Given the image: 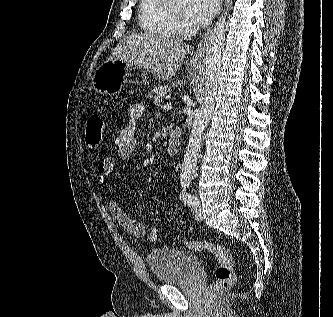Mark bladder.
Instances as JSON below:
<instances>
[{
	"label": "bladder",
	"mask_w": 333,
	"mask_h": 317,
	"mask_svg": "<svg viewBox=\"0 0 333 317\" xmlns=\"http://www.w3.org/2000/svg\"><path fill=\"white\" fill-rule=\"evenodd\" d=\"M146 261L156 281L166 285L191 284L203 265L199 256L170 247L151 250Z\"/></svg>",
	"instance_id": "1"
}]
</instances>
